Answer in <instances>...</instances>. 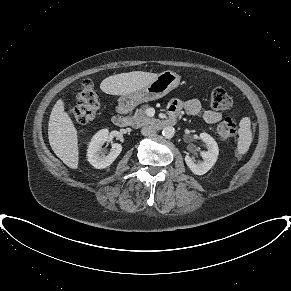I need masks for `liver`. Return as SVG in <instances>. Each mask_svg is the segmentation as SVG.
Here are the masks:
<instances>
[{"label":"liver","mask_w":291,"mask_h":291,"mask_svg":"<svg viewBox=\"0 0 291 291\" xmlns=\"http://www.w3.org/2000/svg\"><path fill=\"white\" fill-rule=\"evenodd\" d=\"M158 74L132 71L105 78L100 89L110 95H123L140 90L156 79ZM48 139L56 156L71 169L78 168V135L72 119L59 99L54 105L48 123Z\"/></svg>","instance_id":"obj_1"}]
</instances>
